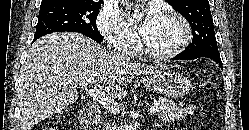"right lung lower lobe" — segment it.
<instances>
[{
  "mask_svg": "<svg viewBox=\"0 0 249 130\" xmlns=\"http://www.w3.org/2000/svg\"><path fill=\"white\" fill-rule=\"evenodd\" d=\"M37 39H38V38H34V39H33V42H34L35 40H37Z\"/></svg>",
  "mask_w": 249,
  "mask_h": 130,
  "instance_id": "98d812e1",
  "label": "right lung lower lobe"
}]
</instances>
